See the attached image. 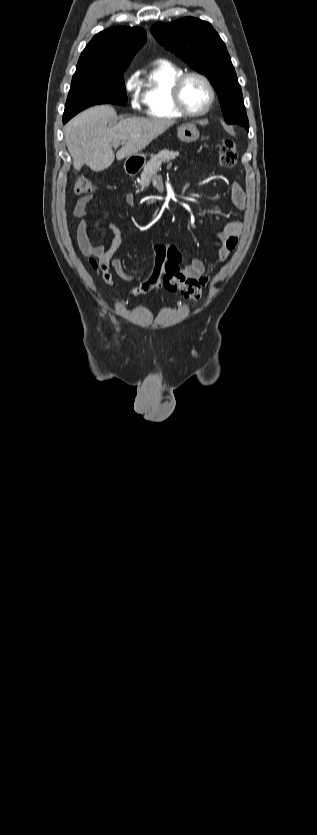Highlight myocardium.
I'll use <instances>...</instances> for the list:
<instances>
[{
	"label": "myocardium",
	"mask_w": 317,
	"mask_h": 835,
	"mask_svg": "<svg viewBox=\"0 0 317 835\" xmlns=\"http://www.w3.org/2000/svg\"><path fill=\"white\" fill-rule=\"evenodd\" d=\"M193 77L202 80L207 85V87L209 89V92H210V99H209V102H208L207 106L203 110L196 111V112L191 111L186 107V105L183 101V97H182L183 88H184L186 82L188 81V79L193 78ZM172 98H173L175 107L177 108V110L180 113L183 114V116L200 117V116H203V115L207 114L211 110V108H212V106L215 102L216 91H215L213 83L211 82V80L205 74L197 72V71H190V72H184L183 74H181L175 80V82L173 84V87H172Z\"/></svg>",
	"instance_id": "f54148a6"
}]
</instances>
